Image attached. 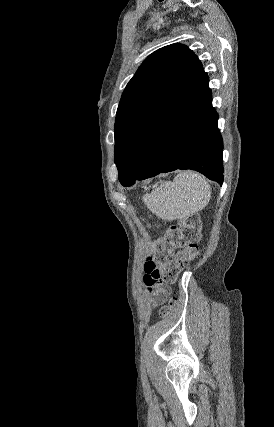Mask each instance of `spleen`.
Listing matches in <instances>:
<instances>
[{
    "label": "spleen",
    "mask_w": 274,
    "mask_h": 427,
    "mask_svg": "<svg viewBox=\"0 0 274 427\" xmlns=\"http://www.w3.org/2000/svg\"><path fill=\"white\" fill-rule=\"evenodd\" d=\"M210 196V186L202 174L180 172L173 182H163L145 194L144 202L152 214L171 221L197 214L207 206Z\"/></svg>",
    "instance_id": "obj_1"
}]
</instances>
